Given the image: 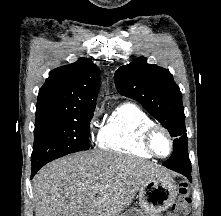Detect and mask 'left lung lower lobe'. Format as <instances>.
Returning a JSON list of instances; mask_svg holds the SVG:
<instances>
[{"instance_id": "0a47b994", "label": "left lung lower lobe", "mask_w": 221, "mask_h": 216, "mask_svg": "<svg viewBox=\"0 0 221 216\" xmlns=\"http://www.w3.org/2000/svg\"><path fill=\"white\" fill-rule=\"evenodd\" d=\"M165 167L185 175L191 180V163L188 152L183 150H174L168 164H163Z\"/></svg>"}]
</instances>
